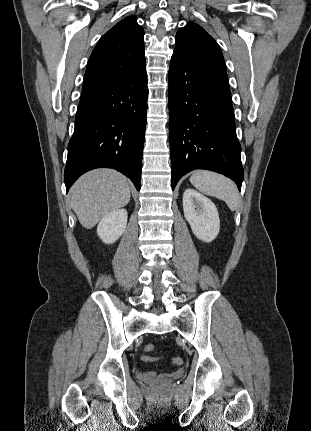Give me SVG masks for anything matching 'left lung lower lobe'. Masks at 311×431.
I'll return each instance as SVG.
<instances>
[{
	"mask_svg": "<svg viewBox=\"0 0 311 431\" xmlns=\"http://www.w3.org/2000/svg\"><path fill=\"white\" fill-rule=\"evenodd\" d=\"M172 189L195 169L244 177L227 73L173 53L168 73Z\"/></svg>",
	"mask_w": 311,
	"mask_h": 431,
	"instance_id": "0a47b994",
	"label": "left lung lower lobe"
}]
</instances>
